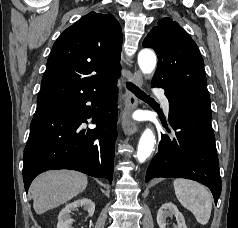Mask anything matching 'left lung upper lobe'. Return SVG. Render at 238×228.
<instances>
[{
	"label": "left lung upper lobe",
	"instance_id": "obj_1",
	"mask_svg": "<svg viewBox=\"0 0 238 228\" xmlns=\"http://www.w3.org/2000/svg\"><path fill=\"white\" fill-rule=\"evenodd\" d=\"M143 46L154 49L158 56L152 84L211 111L204 61L196 43L177 22L159 20Z\"/></svg>",
	"mask_w": 238,
	"mask_h": 228
}]
</instances>
